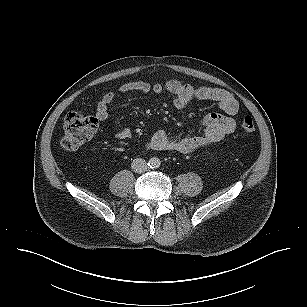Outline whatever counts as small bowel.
Instances as JSON below:
<instances>
[{
    "label": "small bowel",
    "instance_id": "small-bowel-1",
    "mask_svg": "<svg viewBox=\"0 0 307 307\" xmlns=\"http://www.w3.org/2000/svg\"><path fill=\"white\" fill-rule=\"evenodd\" d=\"M167 92L173 96L172 104L182 110L193 101H212L225 113H211L201 121L202 134L172 138L164 131H157L149 140L147 146L159 151H173L178 153H192L206 145L222 140L226 135L234 132L236 120L234 116L239 112V103L234 95L224 89L209 87H194L180 80H169L165 83H149L132 81L119 86L116 91L103 95L96 109V117L104 121L109 115V106L119 94L140 93L145 95H159ZM116 137L125 140L131 137L128 128L120 130Z\"/></svg>",
    "mask_w": 307,
    "mask_h": 307
}]
</instances>
